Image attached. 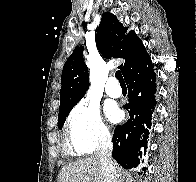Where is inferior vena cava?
I'll return each mask as SVG.
<instances>
[{"mask_svg":"<svg viewBox=\"0 0 196 182\" xmlns=\"http://www.w3.org/2000/svg\"><path fill=\"white\" fill-rule=\"evenodd\" d=\"M112 149L111 135L103 133L94 156L100 160L104 182H117L116 164L112 161Z\"/></svg>","mask_w":196,"mask_h":182,"instance_id":"inferior-vena-cava-1","label":"inferior vena cava"}]
</instances>
